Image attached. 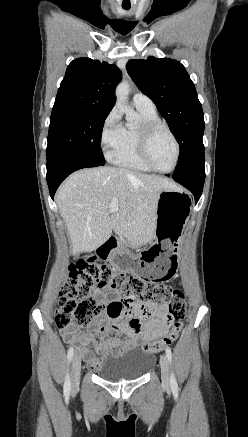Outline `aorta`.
I'll return each instance as SVG.
<instances>
[{
	"mask_svg": "<svg viewBox=\"0 0 248 437\" xmlns=\"http://www.w3.org/2000/svg\"><path fill=\"white\" fill-rule=\"evenodd\" d=\"M115 94L117 99L116 105L125 113L126 120L128 122L137 121L139 118L138 114L126 106L129 95V84L125 81H122L117 86Z\"/></svg>",
	"mask_w": 248,
	"mask_h": 437,
	"instance_id": "762f6f07",
	"label": "aorta"
}]
</instances>
